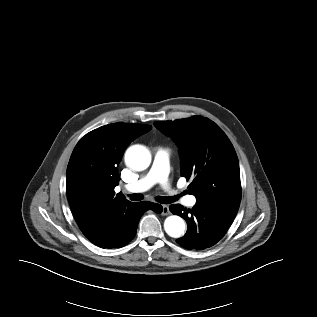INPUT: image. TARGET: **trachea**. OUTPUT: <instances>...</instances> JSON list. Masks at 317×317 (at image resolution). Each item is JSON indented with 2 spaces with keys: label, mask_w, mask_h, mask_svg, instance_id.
Instances as JSON below:
<instances>
[{
  "label": "trachea",
  "mask_w": 317,
  "mask_h": 317,
  "mask_svg": "<svg viewBox=\"0 0 317 317\" xmlns=\"http://www.w3.org/2000/svg\"><path fill=\"white\" fill-rule=\"evenodd\" d=\"M130 197V199L132 201H140L143 199V196L141 194H131V195H128ZM159 203H162V204H170L174 201H176V198L175 197H170V196H158L155 198Z\"/></svg>",
  "instance_id": "obj_1"
}]
</instances>
